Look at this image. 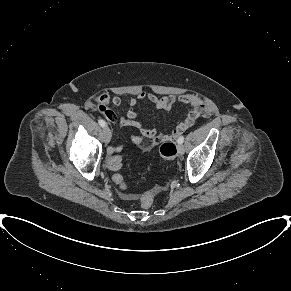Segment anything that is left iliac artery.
<instances>
[{
	"label": "left iliac artery",
	"instance_id": "1",
	"mask_svg": "<svg viewBox=\"0 0 291 291\" xmlns=\"http://www.w3.org/2000/svg\"><path fill=\"white\" fill-rule=\"evenodd\" d=\"M177 142L178 144H182L184 142V136H180Z\"/></svg>",
	"mask_w": 291,
	"mask_h": 291
}]
</instances>
